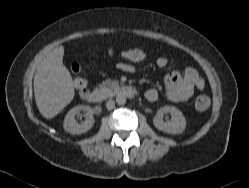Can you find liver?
Segmentation results:
<instances>
[{"mask_svg": "<svg viewBox=\"0 0 249 188\" xmlns=\"http://www.w3.org/2000/svg\"><path fill=\"white\" fill-rule=\"evenodd\" d=\"M64 46L50 52L34 75V96L39 112L51 119L74 98V85L69 70L63 65Z\"/></svg>", "mask_w": 249, "mask_h": 188, "instance_id": "6515ba94", "label": "liver"}]
</instances>
